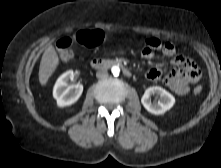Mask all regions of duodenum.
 I'll return each mask as SVG.
<instances>
[{
    "mask_svg": "<svg viewBox=\"0 0 221 168\" xmlns=\"http://www.w3.org/2000/svg\"><path fill=\"white\" fill-rule=\"evenodd\" d=\"M90 64L94 69H108L111 67H120L125 76L130 77L132 75L131 70L120 60L116 59L105 60V59L94 58L91 60Z\"/></svg>",
    "mask_w": 221,
    "mask_h": 168,
    "instance_id": "1",
    "label": "duodenum"
}]
</instances>
